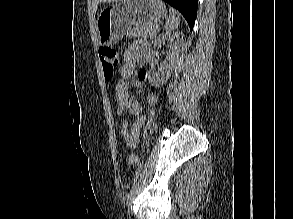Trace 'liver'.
<instances>
[{"mask_svg":"<svg viewBox=\"0 0 293 219\" xmlns=\"http://www.w3.org/2000/svg\"><path fill=\"white\" fill-rule=\"evenodd\" d=\"M120 0H93V10L94 12L97 10V6L99 3H106V2H118Z\"/></svg>","mask_w":293,"mask_h":219,"instance_id":"1","label":"liver"}]
</instances>
